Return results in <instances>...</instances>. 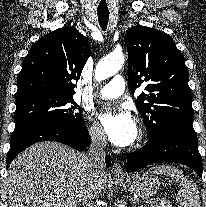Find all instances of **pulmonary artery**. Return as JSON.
Listing matches in <instances>:
<instances>
[{"mask_svg": "<svg viewBox=\"0 0 206 207\" xmlns=\"http://www.w3.org/2000/svg\"><path fill=\"white\" fill-rule=\"evenodd\" d=\"M125 91V80L122 76L116 75L100 91V96L105 99H112L121 96Z\"/></svg>", "mask_w": 206, "mask_h": 207, "instance_id": "obj_1", "label": "pulmonary artery"}]
</instances>
